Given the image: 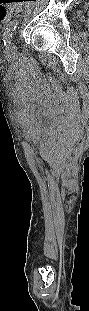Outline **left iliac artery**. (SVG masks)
<instances>
[{"instance_id": "44dca946", "label": "left iliac artery", "mask_w": 89, "mask_h": 311, "mask_svg": "<svg viewBox=\"0 0 89 311\" xmlns=\"http://www.w3.org/2000/svg\"><path fill=\"white\" fill-rule=\"evenodd\" d=\"M18 24V21L17 20H13L11 21L7 27H6V30L3 34V41H4V44L6 45L7 42L10 41V39L12 38V35H13V32L14 30L16 29V26Z\"/></svg>"}]
</instances>
